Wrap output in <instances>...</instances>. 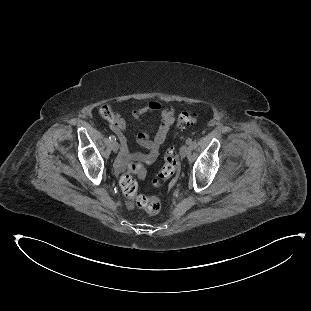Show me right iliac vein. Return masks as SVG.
<instances>
[{
  "label": "right iliac vein",
  "mask_w": 311,
  "mask_h": 311,
  "mask_svg": "<svg viewBox=\"0 0 311 311\" xmlns=\"http://www.w3.org/2000/svg\"><path fill=\"white\" fill-rule=\"evenodd\" d=\"M111 147H112L113 152L117 153V151L119 150L118 142L117 141H112Z\"/></svg>",
  "instance_id": "63e3f726"
}]
</instances>
